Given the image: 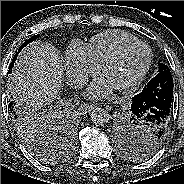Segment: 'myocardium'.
Masks as SVG:
<instances>
[{"mask_svg":"<svg viewBox=\"0 0 184 184\" xmlns=\"http://www.w3.org/2000/svg\"><path fill=\"white\" fill-rule=\"evenodd\" d=\"M134 46H141L144 47L147 50V58L146 61L138 73V75L132 79L129 83L126 85H123L121 87L116 88L120 92H131L134 89H136L140 83L143 81L145 76L147 75L151 62H152V51L148 44L145 42L140 41L139 39L127 42L120 47H118L112 54H110L101 64H100V73H102L107 66L114 63L125 51L128 49L134 47Z\"/></svg>","mask_w":184,"mask_h":184,"instance_id":"obj_1","label":"myocardium"}]
</instances>
